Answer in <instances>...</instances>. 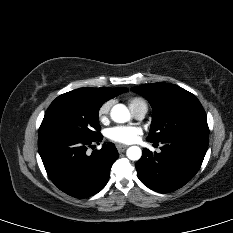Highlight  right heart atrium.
<instances>
[{
  "instance_id": "1",
  "label": "right heart atrium",
  "mask_w": 233,
  "mask_h": 233,
  "mask_svg": "<svg viewBox=\"0 0 233 233\" xmlns=\"http://www.w3.org/2000/svg\"><path fill=\"white\" fill-rule=\"evenodd\" d=\"M112 104L113 102L111 100H108L100 105L97 115L101 122H104L107 120Z\"/></svg>"
}]
</instances>
